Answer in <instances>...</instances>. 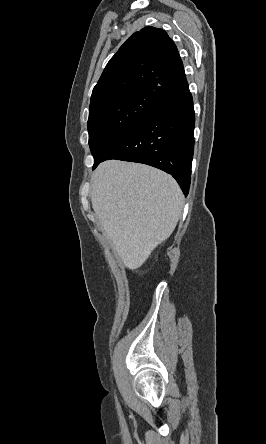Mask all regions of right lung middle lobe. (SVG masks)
I'll list each match as a JSON object with an SVG mask.
<instances>
[{
  "mask_svg": "<svg viewBox=\"0 0 266 444\" xmlns=\"http://www.w3.org/2000/svg\"><path fill=\"white\" fill-rule=\"evenodd\" d=\"M162 100L151 93H124L89 109V146L94 165L101 162L109 149L137 127Z\"/></svg>",
  "mask_w": 266,
  "mask_h": 444,
  "instance_id": "1",
  "label": "right lung middle lobe"
}]
</instances>
